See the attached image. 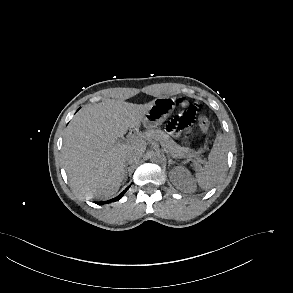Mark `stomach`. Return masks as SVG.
Listing matches in <instances>:
<instances>
[{"label":"stomach","instance_id":"obj_1","mask_svg":"<svg viewBox=\"0 0 293 293\" xmlns=\"http://www.w3.org/2000/svg\"><path fill=\"white\" fill-rule=\"evenodd\" d=\"M175 100L170 97H159L152 103L151 108L143 118V124L147 128L161 125L173 112Z\"/></svg>","mask_w":293,"mask_h":293}]
</instances>
